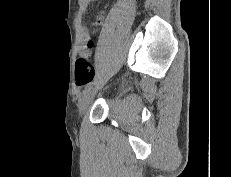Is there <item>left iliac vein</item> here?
Here are the masks:
<instances>
[{"label":"left iliac vein","instance_id":"1","mask_svg":"<svg viewBox=\"0 0 231 177\" xmlns=\"http://www.w3.org/2000/svg\"><path fill=\"white\" fill-rule=\"evenodd\" d=\"M95 88H90L86 91L79 102V114L82 116L86 110L88 109L89 105L91 104L94 96H95Z\"/></svg>","mask_w":231,"mask_h":177}]
</instances>
